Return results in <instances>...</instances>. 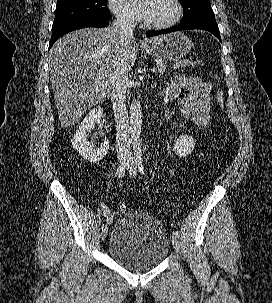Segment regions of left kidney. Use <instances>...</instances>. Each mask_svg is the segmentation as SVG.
I'll return each mask as SVG.
<instances>
[{"mask_svg": "<svg viewBox=\"0 0 272 303\" xmlns=\"http://www.w3.org/2000/svg\"><path fill=\"white\" fill-rule=\"evenodd\" d=\"M195 141L193 137L188 135H182L176 139L174 143V151L178 156L185 157L193 151Z\"/></svg>", "mask_w": 272, "mask_h": 303, "instance_id": "1", "label": "left kidney"}]
</instances>
